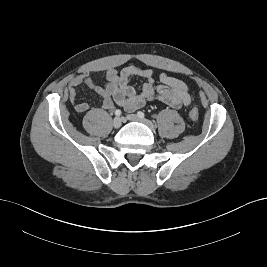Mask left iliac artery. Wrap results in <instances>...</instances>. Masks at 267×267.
<instances>
[{"label":"left iliac artery","mask_w":267,"mask_h":267,"mask_svg":"<svg viewBox=\"0 0 267 267\" xmlns=\"http://www.w3.org/2000/svg\"><path fill=\"white\" fill-rule=\"evenodd\" d=\"M137 115L140 118H144L145 117V114L143 112H141V111L137 112Z\"/></svg>","instance_id":"1"}]
</instances>
